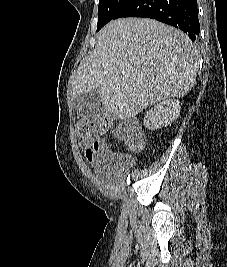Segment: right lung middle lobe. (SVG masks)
Returning a JSON list of instances; mask_svg holds the SVG:
<instances>
[{
  "mask_svg": "<svg viewBox=\"0 0 227 267\" xmlns=\"http://www.w3.org/2000/svg\"><path fill=\"white\" fill-rule=\"evenodd\" d=\"M127 1L128 0H99L97 31L111 21L118 10Z\"/></svg>",
  "mask_w": 227,
  "mask_h": 267,
  "instance_id": "obj_1",
  "label": "right lung middle lobe"
}]
</instances>
